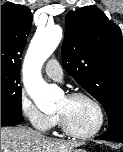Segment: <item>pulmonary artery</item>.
<instances>
[{
	"mask_svg": "<svg viewBox=\"0 0 123 152\" xmlns=\"http://www.w3.org/2000/svg\"><path fill=\"white\" fill-rule=\"evenodd\" d=\"M45 72L48 77L55 81H61L63 79V70L59 62L54 58L47 61L45 65Z\"/></svg>",
	"mask_w": 123,
	"mask_h": 152,
	"instance_id": "e3ab8cb5",
	"label": "pulmonary artery"
}]
</instances>
